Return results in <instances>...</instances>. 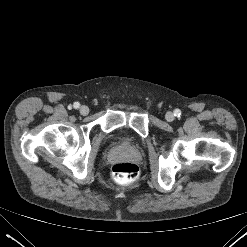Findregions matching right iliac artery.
I'll return each instance as SVG.
<instances>
[{
  "label": "right iliac artery",
  "mask_w": 247,
  "mask_h": 247,
  "mask_svg": "<svg viewBox=\"0 0 247 247\" xmlns=\"http://www.w3.org/2000/svg\"><path fill=\"white\" fill-rule=\"evenodd\" d=\"M79 106H80V104H79L78 102H75V103L73 104V107H74L75 109L79 108Z\"/></svg>",
  "instance_id": "obj_1"
}]
</instances>
